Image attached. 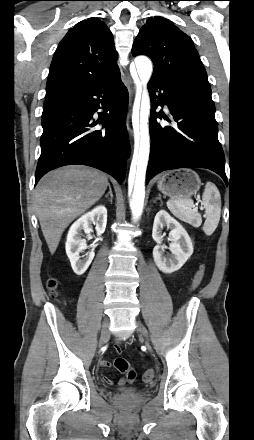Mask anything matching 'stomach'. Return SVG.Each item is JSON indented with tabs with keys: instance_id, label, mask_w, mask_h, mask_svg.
<instances>
[{
	"instance_id": "0dacf381",
	"label": "stomach",
	"mask_w": 254,
	"mask_h": 440,
	"mask_svg": "<svg viewBox=\"0 0 254 440\" xmlns=\"http://www.w3.org/2000/svg\"><path fill=\"white\" fill-rule=\"evenodd\" d=\"M199 175L191 169H179L163 174L158 182V189L165 195L175 198H189L200 189Z\"/></svg>"
}]
</instances>
